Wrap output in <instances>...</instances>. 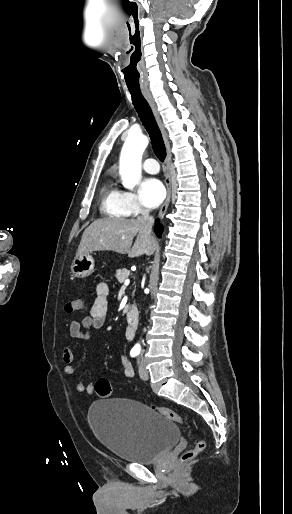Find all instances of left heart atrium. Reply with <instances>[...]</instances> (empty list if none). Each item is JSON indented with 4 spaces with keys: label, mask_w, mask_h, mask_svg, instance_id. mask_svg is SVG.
<instances>
[{
    "label": "left heart atrium",
    "mask_w": 292,
    "mask_h": 514,
    "mask_svg": "<svg viewBox=\"0 0 292 514\" xmlns=\"http://www.w3.org/2000/svg\"><path fill=\"white\" fill-rule=\"evenodd\" d=\"M140 196L149 208L156 207L165 197V188L161 181L150 178L142 182Z\"/></svg>",
    "instance_id": "left-heart-atrium-1"
}]
</instances>
